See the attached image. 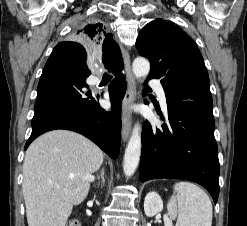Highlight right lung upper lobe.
Instances as JSON below:
<instances>
[{
	"label": "right lung upper lobe",
	"mask_w": 247,
	"mask_h": 226,
	"mask_svg": "<svg viewBox=\"0 0 247 226\" xmlns=\"http://www.w3.org/2000/svg\"><path fill=\"white\" fill-rule=\"evenodd\" d=\"M74 37L84 44L102 45V61L105 68L110 70L123 69V61L118 44L112 39V34L100 22L87 24L75 32Z\"/></svg>",
	"instance_id": "cb5924a9"
}]
</instances>
